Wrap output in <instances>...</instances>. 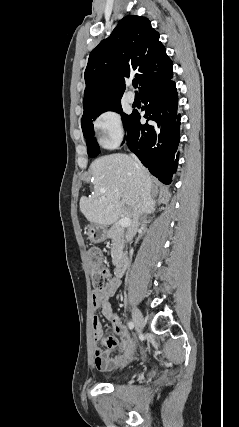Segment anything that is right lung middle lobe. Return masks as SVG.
<instances>
[{
  "mask_svg": "<svg viewBox=\"0 0 239 427\" xmlns=\"http://www.w3.org/2000/svg\"><path fill=\"white\" fill-rule=\"evenodd\" d=\"M105 111H116L118 113H121L125 128L130 119V115H126L122 113L120 102L110 103L107 105L97 107L91 110L90 112H88L86 115H84L81 120V126H82L84 137L86 138L88 156L91 158L96 157L100 153L99 145L93 136V120H95L97 116H99L101 113Z\"/></svg>",
  "mask_w": 239,
  "mask_h": 427,
  "instance_id": "1",
  "label": "right lung middle lobe"
}]
</instances>
